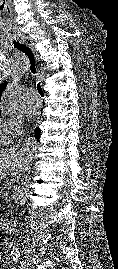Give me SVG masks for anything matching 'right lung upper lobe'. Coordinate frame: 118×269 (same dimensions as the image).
Segmentation results:
<instances>
[{"mask_svg": "<svg viewBox=\"0 0 118 269\" xmlns=\"http://www.w3.org/2000/svg\"><path fill=\"white\" fill-rule=\"evenodd\" d=\"M6 85H7V82H5V81H4V83H2L0 85V98H1L3 90L6 88Z\"/></svg>", "mask_w": 118, "mask_h": 269, "instance_id": "right-lung-upper-lobe-1", "label": "right lung upper lobe"}]
</instances>
